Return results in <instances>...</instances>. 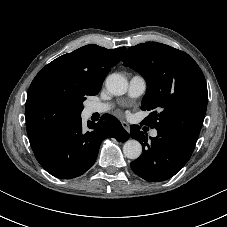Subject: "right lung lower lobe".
Returning a JSON list of instances; mask_svg holds the SVG:
<instances>
[{
	"instance_id": "1",
	"label": "right lung lower lobe",
	"mask_w": 227,
	"mask_h": 227,
	"mask_svg": "<svg viewBox=\"0 0 227 227\" xmlns=\"http://www.w3.org/2000/svg\"><path fill=\"white\" fill-rule=\"evenodd\" d=\"M82 128L81 118L52 135L34 152L40 165L51 175L71 179L85 173L96 161L101 142L108 138H129L119 120L104 114L98 123L88 122Z\"/></svg>"
}]
</instances>
